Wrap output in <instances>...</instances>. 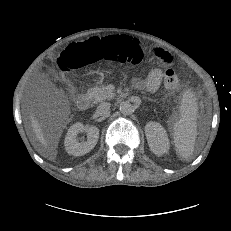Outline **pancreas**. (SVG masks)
<instances>
[{
    "instance_id": "1",
    "label": "pancreas",
    "mask_w": 231,
    "mask_h": 231,
    "mask_svg": "<svg viewBox=\"0 0 231 231\" xmlns=\"http://www.w3.org/2000/svg\"><path fill=\"white\" fill-rule=\"evenodd\" d=\"M87 95L93 103L110 100L116 96L115 93L109 91L105 86L90 88L87 91Z\"/></svg>"
}]
</instances>
